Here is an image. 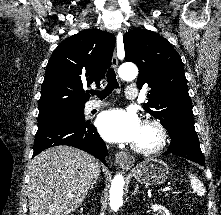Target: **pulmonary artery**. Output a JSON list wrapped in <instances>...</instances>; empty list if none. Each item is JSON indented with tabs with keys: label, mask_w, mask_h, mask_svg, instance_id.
I'll return each instance as SVG.
<instances>
[{
	"label": "pulmonary artery",
	"mask_w": 221,
	"mask_h": 215,
	"mask_svg": "<svg viewBox=\"0 0 221 215\" xmlns=\"http://www.w3.org/2000/svg\"><path fill=\"white\" fill-rule=\"evenodd\" d=\"M138 96V90L135 86H128L126 89V97L128 99H135ZM106 105V103L104 102H100V101H91L88 104V110H94L97 108H100L102 106Z\"/></svg>",
	"instance_id": "e3ab8cb5"
}]
</instances>
